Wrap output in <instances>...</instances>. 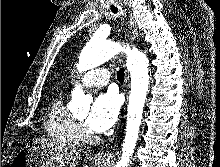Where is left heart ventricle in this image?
Listing matches in <instances>:
<instances>
[{
  "label": "left heart ventricle",
  "mask_w": 220,
  "mask_h": 167,
  "mask_svg": "<svg viewBox=\"0 0 220 167\" xmlns=\"http://www.w3.org/2000/svg\"><path fill=\"white\" fill-rule=\"evenodd\" d=\"M86 116H87V114L79 115L78 119H80L81 121H85L86 120Z\"/></svg>",
  "instance_id": "obj_1"
}]
</instances>
